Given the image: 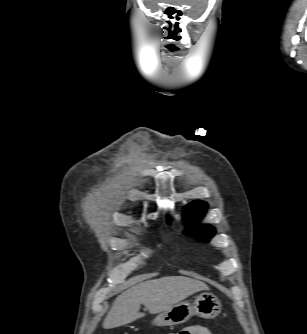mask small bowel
<instances>
[{
	"mask_svg": "<svg viewBox=\"0 0 307 334\" xmlns=\"http://www.w3.org/2000/svg\"><path fill=\"white\" fill-rule=\"evenodd\" d=\"M183 334H212L211 331L203 325H192L184 330H182Z\"/></svg>",
	"mask_w": 307,
	"mask_h": 334,
	"instance_id": "1",
	"label": "small bowel"
}]
</instances>
